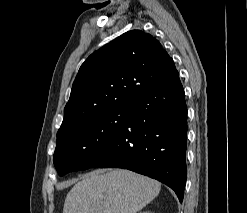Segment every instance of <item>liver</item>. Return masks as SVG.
<instances>
[{"label": "liver", "instance_id": "6515ba94", "mask_svg": "<svg viewBox=\"0 0 247 213\" xmlns=\"http://www.w3.org/2000/svg\"><path fill=\"white\" fill-rule=\"evenodd\" d=\"M160 189V182L129 170H95L69 191L63 213H137Z\"/></svg>", "mask_w": 247, "mask_h": 213}]
</instances>
